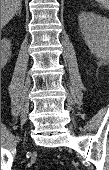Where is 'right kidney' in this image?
I'll return each instance as SVG.
<instances>
[{"mask_svg": "<svg viewBox=\"0 0 109 170\" xmlns=\"http://www.w3.org/2000/svg\"><path fill=\"white\" fill-rule=\"evenodd\" d=\"M11 42L8 39L1 40V64L5 66L10 56Z\"/></svg>", "mask_w": 109, "mask_h": 170, "instance_id": "obj_1", "label": "right kidney"}]
</instances>
